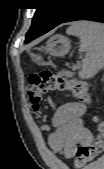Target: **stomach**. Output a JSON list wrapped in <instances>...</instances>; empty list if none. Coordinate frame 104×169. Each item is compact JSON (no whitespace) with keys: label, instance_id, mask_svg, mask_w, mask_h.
Instances as JSON below:
<instances>
[{"label":"stomach","instance_id":"stomach-1","mask_svg":"<svg viewBox=\"0 0 104 169\" xmlns=\"http://www.w3.org/2000/svg\"><path fill=\"white\" fill-rule=\"evenodd\" d=\"M70 48L69 39L62 35H54L47 41L46 46L42 47L41 51L53 56H64L69 52ZM31 57L35 62L42 61L41 55L31 54Z\"/></svg>","mask_w":104,"mask_h":169}]
</instances>
